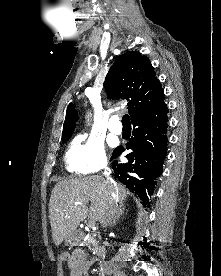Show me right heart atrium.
<instances>
[{
  "instance_id": "d8ad5b80",
  "label": "right heart atrium",
  "mask_w": 221,
  "mask_h": 276,
  "mask_svg": "<svg viewBox=\"0 0 221 276\" xmlns=\"http://www.w3.org/2000/svg\"><path fill=\"white\" fill-rule=\"evenodd\" d=\"M65 161L71 172L90 174L98 172L107 164L103 143L92 136H79L69 146Z\"/></svg>"
}]
</instances>
